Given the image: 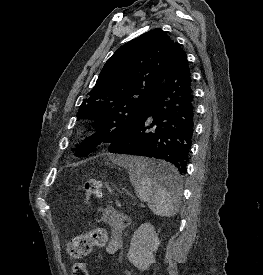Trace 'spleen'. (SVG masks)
<instances>
[{
	"mask_svg": "<svg viewBox=\"0 0 263 275\" xmlns=\"http://www.w3.org/2000/svg\"><path fill=\"white\" fill-rule=\"evenodd\" d=\"M129 171L130 181L133 184L138 198L147 202L153 214L161 217L174 216L177 211V201L181 195V186L168 191L148 175V170L153 167L169 168L165 162H154L146 158L130 157L119 162Z\"/></svg>",
	"mask_w": 263,
	"mask_h": 275,
	"instance_id": "spleen-1",
	"label": "spleen"
}]
</instances>
